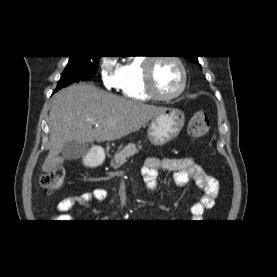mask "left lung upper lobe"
<instances>
[{"label": "left lung upper lobe", "mask_w": 277, "mask_h": 277, "mask_svg": "<svg viewBox=\"0 0 277 277\" xmlns=\"http://www.w3.org/2000/svg\"><path fill=\"white\" fill-rule=\"evenodd\" d=\"M187 58H189L191 61H193L195 63H198L197 56H191V57H187Z\"/></svg>", "instance_id": "left-lung-upper-lobe-1"}]
</instances>
